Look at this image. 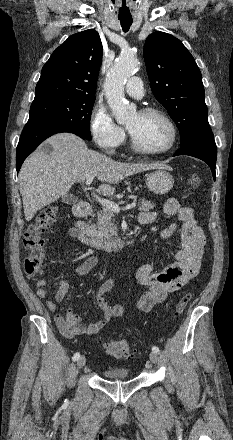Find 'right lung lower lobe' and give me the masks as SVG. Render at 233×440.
Segmentation results:
<instances>
[{"label":"right lung lower lobe","mask_w":233,"mask_h":440,"mask_svg":"<svg viewBox=\"0 0 233 440\" xmlns=\"http://www.w3.org/2000/svg\"><path fill=\"white\" fill-rule=\"evenodd\" d=\"M69 132L78 135L82 139L84 138L76 130L68 127L60 126H44V125H28L26 124L16 152V169L17 172L20 170L22 163L25 158L33 152L39 144H41L45 139L56 133Z\"/></svg>","instance_id":"obj_1"}]
</instances>
